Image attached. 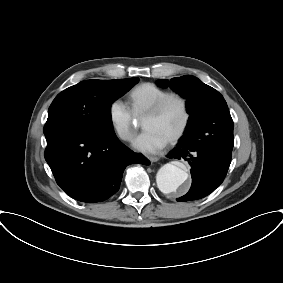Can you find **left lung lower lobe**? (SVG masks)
<instances>
[{
  "instance_id": "0a47b994",
  "label": "left lung lower lobe",
  "mask_w": 283,
  "mask_h": 283,
  "mask_svg": "<svg viewBox=\"0 0 283 283\" xmlns=\"http://www.w3.org/2000/svg\"><path fill=\"white\" fill-rule=\"evenodd\" d=\"M198 125L186 128L169 158L184 159L191 166L192 185L177 201H191L209 195L224 180L231 162V152L209 147L202 140Z\"/></svg>"
}]
</instances>
